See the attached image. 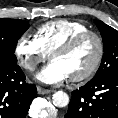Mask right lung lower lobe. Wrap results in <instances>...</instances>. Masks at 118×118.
Returning <instances> with one entry per match:
<instances>
[{
  "mask_svg": "<svg viewBox=\"0 0 118 118\" xmlns=\"http://www.w3.org/2000/svg\"><path fill=\"white\" fill-rule=\"evenodd\" d=\"M36 94L17 64H0V118H25Z\"/></svg>",
  "mask_w": 118,
  "mask_h": 118,
  "instance_id": "right-lung-lower-lobe-1",
  "label": "right lung lower lobe"
}]
</instances>
